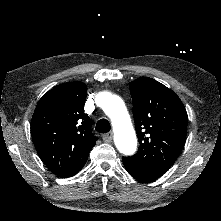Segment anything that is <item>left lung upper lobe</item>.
I'll use <instances>...</instances> for the list:
<instances>
[{
  "instance_id": "1",
  "label": "left lung upper lobe",
  "mask_w": 221,
  "mask_h": 221,
  "mask_svg": "<svg viewBox=\"0 0 221 221\" xmlns=\"http://www.w3.org/2000/svg\"><path fill=\"white\" fill-rule=\"evenodd\" d=\"M129 88L140 146L134 156L124 158L158 178L172 166L185 144L187 112L172 90L152 78L140 77L130 82Z\"/></svg>"
}]
</instances>
